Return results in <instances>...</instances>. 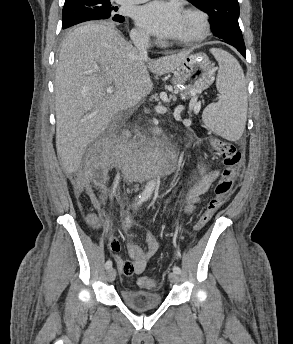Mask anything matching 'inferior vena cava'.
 I'll list each match as a JSON object with an SVG mask.
<instances>
[{"mask_svg": "<svg viewBox=\"0 0 293 344\" xmlns=\"http://www.w3.org/2000/svg\"><path fill=\"white\" fill-rule=\"evenodd\" d=\"M130 37L132 39L134 46L139 52L140 57L147 58L148 57L147 49L149 48V35L144 32L135 31V32H131ZM125 105H126V108H130L135 105L131 99L130 92H127L125 95Z\"/></svg>", "mask_w": 293, "mask_h": 344, "instance_id": "obj_1", "label": "inferior vena cava"}]
</instances>
